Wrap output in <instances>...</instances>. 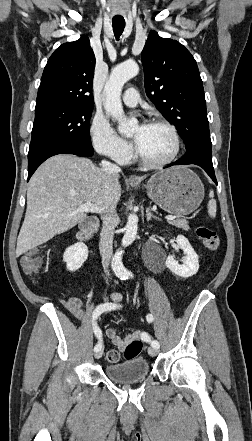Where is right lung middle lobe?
<instances>
[{"label": "right lung middle lobe", "instance_id": "right-lung-middle-lobe-1", "mask_svg": "<svg viewBox=\"0 0 252 441\" xmlns=\"http://www.w3.org/2000/svg\"><path fill=\"white\" fill-rule=\"evenodd\" d=\"M93 107L48 104L35 108L29 150L58 141L91 143L89 122Z\"/></svg>", "mask_w": 252, "mask_h": 441}]
</instances>
